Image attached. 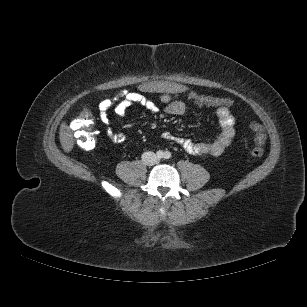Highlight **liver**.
<instances>
[{
	"instance_id": "obj_1",
	"label": "liver",
	"mask_w": 307,
	"mask_h": 307,
	"mask_svg": "<svg viewBox=\"0 0 307 307\" xmlns=\"http://www.w3.org/2000/svg\"><path fill=\"white\" fill-rule=\"evenodd\" d=\"M137 89L141 93H156L164 92L166 94H178L184 96L188 94L190 87L188 83L180 79H166L162 81L161 78L156 77L153 80L147 79L138 84ZM59 138L62 148L65 152H70L74 145V139L71 130L65 122L60 125Z\"/></svg>"
}]
</instances>
